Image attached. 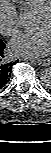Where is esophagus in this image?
<instances>
[{
  "label": "esophagus",
  "instance_id": "obj_1",
  "mask_svg": "<svg viewBox=\"0 0 51 153\" xmlns=\"http://www.w3.org/2000/svg\"><path fill=\"white\" fill-rule=\"evenodd\" d=\"M37 63L40 66H49L51 64V60L49 58H47V59H38Z\"/></svg>",
  "mask_w": 51,
  "mask_h": 153
}]
</instances>
